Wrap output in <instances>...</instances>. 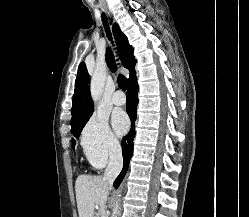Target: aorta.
Listing matches in <instances>:
<instances>
[{"mask_svg": "<svg viewBox=\"0 0 249 217\" xmlns=\"http://www.w3.org/2000/svg\"><path fill=\"white\" fill-rule=\"evenodd\" d=\"M104 80H105V70L104 69H97L91 79V95L93 100L96 102L99 97L100 93L102 91L103 85H104ZM119 192V191H118ZM120 197L121 195L118 194ZM119 201V199H118ZM118 201L115 204V207L113 209L111 217H117L118 214V209H119V204Z\"/></svg>", "mask_w": 249, "mask_h": 217, "instance_id": "aorta-1", "label": "aorta"}]
</instances>
